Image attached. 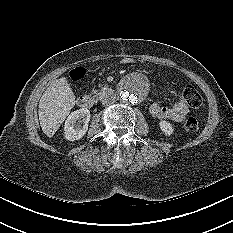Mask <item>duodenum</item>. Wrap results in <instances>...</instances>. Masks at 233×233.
<instances>
[{"label":"duodenum","mask_w":233,"mask_h":233,"mask_svg":"<svg viewBox=\"0 0 233 233\" xmlns=\"http://www.w3.org/2000/svg\"><path fill=\"white\" fill-rule=\"evenodd\" d=\"M111 92L106 87H100L93 90L89 95H81L77 99V104L79 107L84 109H90L95 103H99L107 98H109Z\"/></svg>","instance_id":"1"}]
</instances>
